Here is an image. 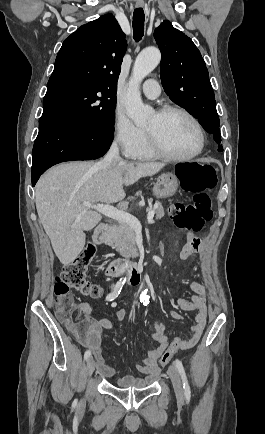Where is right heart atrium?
<instances>
[{
	"mask_svg": "<svg viewBox=\"0 0 265 434\" xmlns=\"http://www.w3.org/2000/svg\"><path fill=\"white\" fill-rule=\"evenodd\" d=\"M114 122L111 124L112 131H121L114 133L112 147L119 148L122 159H132L133 154H137L139 149H143L146 142L142 125H135L127 114L126 103L119 101L115 108ZM137 141L139 144L133 145Z\"/></svg>",
	"mask_w": 265,
	"mask_h": 434,
	"instance_id": "1",
	"label": "right heart atrium"
}]
</instances>
